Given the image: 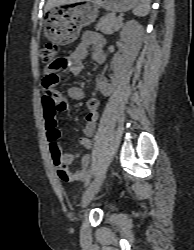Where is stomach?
<instances>
[{
	"instance_id": "stomach-1",
	"label": "stomach",
	"mask_w": 194,
	"mask_h": 250,
	"mask_svg": "<svg viewBox=\"0 0 194 250\" xmlns=\"http://www.w3.org/2000/svg\"><path fill=\"white\" fill-rule=\"evenodd\" d=\"M140 3V0H91L74 7L57 5L47 11L44 35L61 46L74 42L82 27L91 24L98 15L100 7L112 12H125Z\"/></svg>"
}]
</instances>
